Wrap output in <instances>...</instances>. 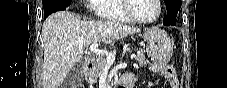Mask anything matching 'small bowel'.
I'll return each mask as SVG.
<instances>
[{"label":"small bowel","instance_id":"obj_1","mask_svg":"<svg viewBox=\"0 0 227 88\" xmlns=\"http://www.w3.org/2000/svg\"><path fill=\"white\" fill-rule=\"evenodd\" d=\"M162 73L165 77H168L170 78V86L171 88H178L179 86V82L176 78L173 77L174 75V71L172 70V68L168 67V66H165L162 68ZM122 79H131L132 80V77L131 76H124Z\"/></svg>","mask_w":227,"mask_h":88}]
</instances>
